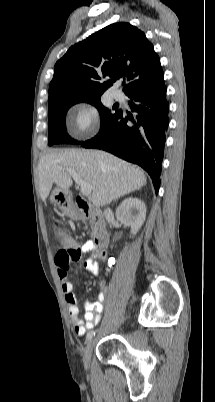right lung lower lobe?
I'll use <instances>...</instances> for the list:
<instances>
[{"label": "right lung lower lobe", "instance_id": "98d812e1", "mask_svg": "<svg viewBox=\"0 0 215 402\" xmlns=\"http://www.w3.org/2000/svg\"><path fill=\"white\" fill-rule=\"evenodd\" d=\"M127 96L137 116H126L122 111L86 142L85 148L103 149L140 165L152 178L156 193L160 186L161 162L165 132L169 125V104L164 80L157 85L136 89Z\"/></svg>", "mask_w": 215, "mask_h": 402}]
</instances>
